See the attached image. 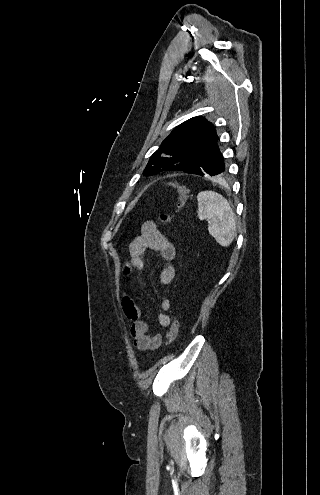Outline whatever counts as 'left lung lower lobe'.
Masks as SVG:
<instances>
[{"mask_svg": "<svg viewBox=\"0 0 320 495\" xmlns=\"http://www.w3.org/2000/svg\"><path fill=\"white\" fill-rule=\"evenodd\" d=\"M186 173L199 176H224L227 173L223 156L217 145L211 152L207 153L197 164L185 170Z\"/></svg>", "mask_w": 320, "mask_h": 495, "instance_id": "0a47b994", "label": "left lung lower lobe"}]
</instances>
